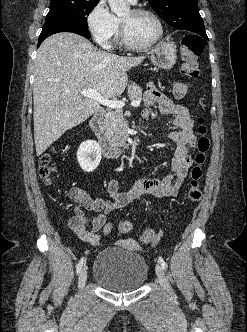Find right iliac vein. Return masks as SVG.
Returning <instances> with one entry per match:
<instances>
[{
	"mask_svg": "<svg viewBox=\"0 0 247 332\" xmlns=\"http://www.w3.org/2000/svg\"><path fill=\"white\" fill-rule=\"evenodd\" d=\"M87 281V268L84 266V268L81 270L78 280L79 288H83Z\"/></svg>",
	"mask_w": 247,
	"mask_h": 332,
	"instance_id": "obj_1",
	"label": "right iliac vein"
}]
</instances>
